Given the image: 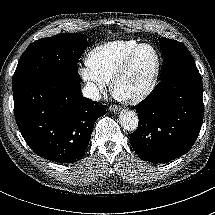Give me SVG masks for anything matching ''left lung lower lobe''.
Here are the masks:
<instances>
[{
  "instance_id": "0a47b994",
  "label": "left lung lower lobe",
  "mask_w": 215,
  "mask_h": 215,
  "mask_svg": "<svg viewBox=\"0 0 215 215\" xmlns=\"http://www.w3.org/2000/svg\"><path fill=\"white\" fill-rule=\"evenodd\" d=\"M134 108L139 124L130 143L142 160L168 162L184 155L195 143L203 121L198 69L191 66L162 79Z\"/></svg>"
}]
</instances>
